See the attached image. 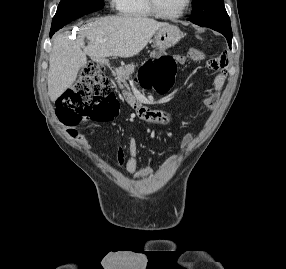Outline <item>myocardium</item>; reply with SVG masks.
<instances>
[{
  "label": "myocardium",
  "mask_w": 286,
  "mask_h": 269,
  "mask_svg": "<svg viewBox=\"0 0 286 269\" xmlns=\"http://www.w3.org/2000/svg\"><path fill=\"white\" fill-rule=\"evenodd\" d=\"M146 3H147L148 8L150 9V11L152 12L154 16L158 18H162V19L174 20V19H178L182 17L187 12V10L189 9L191 5V0H186L183 8L178 13L172 14V15L163 13L159 9L156 0H146Z\"/></svg>",
  "instance_id": "f54148a6"
}]
</instances>
